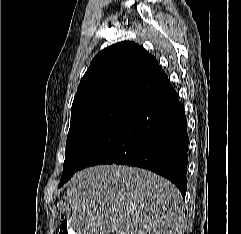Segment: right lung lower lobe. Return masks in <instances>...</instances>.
<instances>
[{
  "mask_svg": "<svg viewBox=\"0 0 241 234\" xmlns=\"http://www.w3.org/2000/svg\"><path fill=\"white\" fill-rule=\"evenodd\" d=\"M188 142L184 108L167 80L90 150L80 170L113 163L145 168L172 181L184 198Z\"/></svg>",
  "mask_w": 241,
  "mask_h": 234,
  "instance_id": "obj_1",
  "label": "right lung lower lobe"
}]
</instances>
